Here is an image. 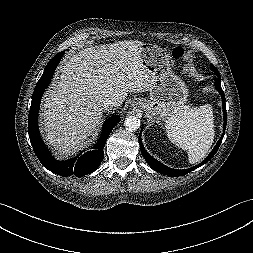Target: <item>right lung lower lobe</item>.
I'll return each mask as SVG.
<instances>
[{
  "label": "right lung lower lobe",
  "instance_id": "right-lung-lower-lobe-1",
  "mask_svg": "<svg viewBox=\"0 0 253 253\" xmlns=\"http://www.w3.org/2000/svg\"><path fill=\"white\" fill-rule=\"evenodd\" d=\"M63 54L64 51L58 53L48 62L43 75L36 84L28 117V133L34 152L45 168L60 176H71L74 174L77 177H82L95 171L102 162L104 158L103 148L106 140L112 129L120 121V117L118 115L112 116L104 122L100 139L96 145L92 147V151L85 153L81 157L76 156L66 161H57L51 155L49 149L46 147L39 134L37 124L38 110L42 94L49 85L54 70Z\"/></svg>",
  "mask_w": 253,
  "mask_h": 253
}]
</instances>
